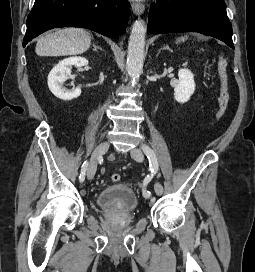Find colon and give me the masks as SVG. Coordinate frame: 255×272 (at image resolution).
<instances>
[{"label":"colon","mask_w":255,"mask_h":272,"mask_svg":"<svg viewBox=\"0 0 255 272\" xmlns=\"http://www.w3.org/2000/svg\"><path fill=\"white\" fill-rule=\"evenodd\" d=\"M218 76L220 82L219 94H218V109L217 117L222 118L226 113L228 102H229V92H228V61L225 57L221 56L218 59ZM121 176L118 173L111 175V180L113 182H118Z\"/></svg>","instance_id":"1"}]
</instances>
